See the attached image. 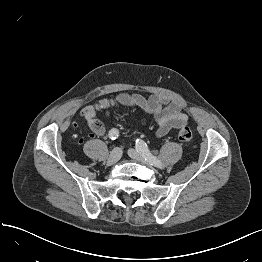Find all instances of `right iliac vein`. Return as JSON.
Here are the masks:
<instances>
[{
    "instance_id": "63e3f726",
    "label": "right iliac vein",
    "mask_w": 262,
    "mask_h": 262,
    "mask_svg": "<svg viewBox=\"0 0 262 262\" xmlns=\"http://www.w3.org/2000/svg\"><path fill=\"white\" fill-rule=\"evenodd\" d=\"M121 156H122L121 149L118 147L114 148L108 157L107 164L114 165L115 163H117L120 160Z\"/></svg>"
}]
</instances>
